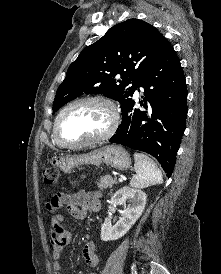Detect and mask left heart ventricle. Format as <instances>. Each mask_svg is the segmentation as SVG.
<instances>
[{"label": "left heart ventricle", "instance_id": "obj_1", "mask_svg": "<svg viewBox=\"0 0 221 274\" xmlns=\"http://www.w3.org/2000/svg\"><path fill=\"white\" fill-rule=\"evenodd\" d=\"M110 123L108 109L98 103H82L70 108L60 122L61 138L80 142L102 134Z\"/></svg>", "mask_w": 221, "mask_h": 274}]
</instances>
